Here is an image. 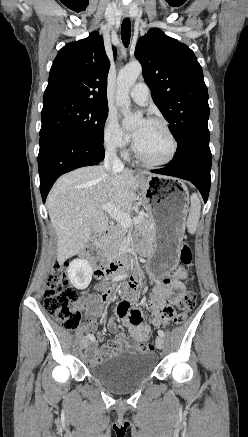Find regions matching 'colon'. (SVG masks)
Masks as SVG:
<instances>
[{
	"label": "colon",
	"instance_id": "5ec220e1",
	"mask_svg": "<svg viewBox=\"0 0 248 437\" xmlns=\"http://www.w3.org/2000/svg\"><path fill=\"white\" fill-rule=\"evenodd\" d=\"M180 261L185 265L192 263V249L184 243L179 249ZM196 293L188 291L180 302V312L173 322L181 325L187 319L188 313L196 305ZM44 306L47 312L65 328H76L81 319L80 303L76 291L71 287L66 265H55L49 275L44 291ZM142 353L154 351L152 342H143L139 346Z\"/></svg>",
	"mask_w": 248,
	"mask_h": 437
}]
</instances>
